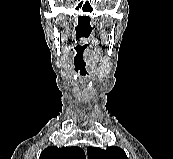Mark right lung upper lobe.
Here are the masks:
<instances>
[{"mask_svg": "<svg viewBox=\"0 0 173 159\" xmlns=\"http://www.w3.org/2000/svg\"><path fill=\"white\" fill-rule=\"evenodd\" d=\"M39 159H86L82 148L78 146L57 148L49 146L41 152Z\"/></svg>", "mask_w": 173, "mask_h": 159, "instance_id": "cb5924a9", "label": "right lung upper lobe"}]
</instances>
